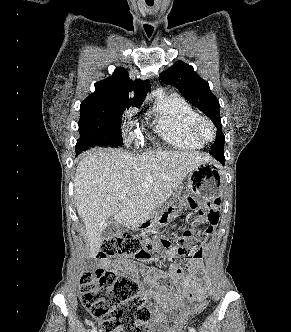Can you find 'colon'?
Returning a JSON list of instances; mask_svg holds the SVG:
<instances>
[{
    "instance_id": "colon-1",
    "label": "colon",
    "mask_w": 291,
    "mask_h": 332,
    "mask_svg": "<svg viewBox=\"0 0 291 332\" xmlns=\"http://www.w3.org/2000/svg\"><path fill=\"white\" fill-rule=\"evenodd\" d=\"M218 203L219 201L215 200L207 209L200 211L204 224L197 233L190 229L185 230V238L201 242L212 233L219 220L216 210ZM169 245L167 238L155 241L138 234H116L103 242L99 258L117 255L146 259L157 246ZM175 256L196 258L199 250L195 246L178 247ZM80 294L83 306L92 316L102 321L103 332H148L150 311L140 294L139 284L134 279L110 270L87 271L80 278ZM206 306L207 300L201 299L191 310L173 317L168 331L183 332L189 317L202 312Z\"/></svg>"
}]
</instances>
